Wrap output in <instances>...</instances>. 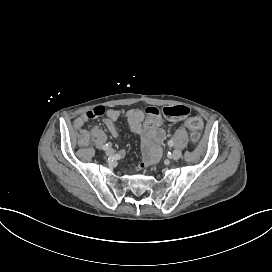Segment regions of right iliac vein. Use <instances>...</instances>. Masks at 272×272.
Segmentation results:
<instances>
[{
  "label": "right iliac vein",
  "instance_id": "obj_1",
  "mask_svg": "<svg viewBox=\"0 0 272 272\" xmlns=\"http://www.w3.org/2000/svg\"><path fill=\"white\" fill-rule=\"evenodd\" d=\"M114 150L112 149V148H109L108 150H106V152H105V154L107 155V156H113L114 155Z\"/></svg>",
  "mask_w": 272,
  "mask_h": 272
}]
</instances>
